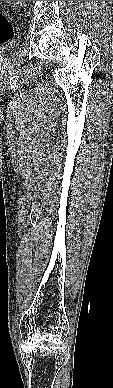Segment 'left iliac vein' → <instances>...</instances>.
Here are the masks:
<instances>
[{
    "mask_svg": "<svg viewBox=\"0 0 113 388\" xmlns=\"http://www.w3.org/2000/svg\"><path fill=\"white\" fill-rule=\"evenodd\" d=\"M17 4L21 6L22 5V1H17Z\"/></svg>",
    "mask_w": 113,
    "mask_h": 388,
    "instance_id": "1",
    "label": "left iliac vein"
}]
</instances>
